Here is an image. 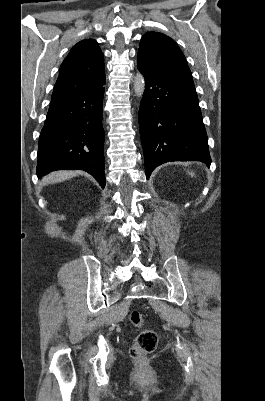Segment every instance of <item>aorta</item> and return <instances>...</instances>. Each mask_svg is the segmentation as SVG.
Returning <instances> with one entry per match:
<instances>
[{
    "mask_svg": "<svg viewBox=\"0 0 265 401\" xmlns=\"http://www.w3.org/2000/svg\"><path fill=\"white\" fill-rule=\"evenodd\" d=\"M145 88V80L143 74L141 72H137L136 76H134V90L135 96H142Z\"/></svg>",
    "mask_w": 265,
    "mask_h": 401,
    "instance_id": "obj_1",
    "label": "aorta"
}]
</instances>
